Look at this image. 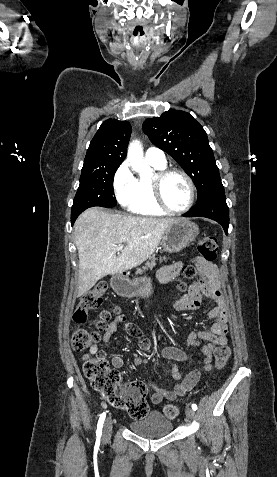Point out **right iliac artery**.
Listing matches in <instances>:
<instances>
[{"label": "right iliac artery", "instance_id": "right-iliac-artery-1", "mask_svg": "<svg viewBox=\"0 0 277 477\" xmlns=\"http://www.w3.org/2000/svg\"><path fill=\"white\" fill-rule=\"evenodd\" d=\"M105 417H106V413L104 412V413L101 414V416L99 418V421H98L97 431H96V436H97L98 439H100L101 435H102V427H103Z\"/></svg>", "mask_w": 277, "mask_h": 477}]
</instances>
